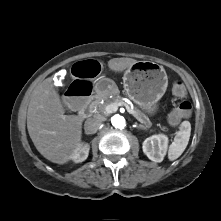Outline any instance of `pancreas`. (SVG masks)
I'll use <instances>...</instances> for the list:
<instances>
[{"label": "pancreas", "instance_id": "cf45deb5", "mask_svg": "<svg viewBox=\"0 0 221 221\" xmlns=\"http://www.w3.org/2000/svg\"><path fill=\"white\" fill-rule=\"evenodd\" d=\"M112 103H117L125 106L131 112V114H133V116L137 120H139L142 124H144L146 127H150L152 125L151 121L144 113H142L140 110L136 108L131 109V107L127 103H125L123 99L120 97L114 98L112 101H107L103 105H99V99H97L91 102V104L89 105V110L91 112H97V113L105 112L106 106Z\"/></svg>", "mask_w": 221, "mask_h": 221}]
</instances>
